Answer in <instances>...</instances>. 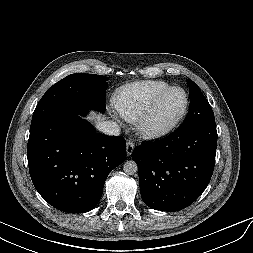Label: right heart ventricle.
<instances>
[{"instance_id": "obj_1", "label": "right heart ventricle", "mask_w": 253, "mask_h": 253, "mask_svg": "<svg viewBox=\"0 0 253 253\" xmlns=\"http://www.w3.org/2000/svg\"><path fill=\"white\" fill-rule=\"evenodd\" d=\"M171 87L161 80H144L121 88L116 96L115 108L127 122H136L152 100L162 91Z\"/></svg>"}]
</instances>
